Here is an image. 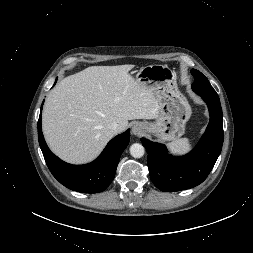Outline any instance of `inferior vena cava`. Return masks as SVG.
Returning <instances> with one entry per match:
<instances>
[{"instance_id":"inferior-vena-cava-1","label":"inferior vena cava","mask_w":253,"mask_h":253,"mask_svg":"<svg viewBox=\"0 0 253 253\" xmlns=\"http://www.w3.org/2000/svg\"><path fill=\"white\" fill-rule=\"evenodd\" d=\"M108 128L114 132V133H117L119 131V124L116 123V122H112L108 125Z\"/></svg>"}]
</instances>
